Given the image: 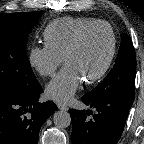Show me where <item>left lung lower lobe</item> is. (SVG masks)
Instances as JSON below:
<instances>
[{"label":"left lung lower lobe","instance_id":"1","mask_svg":"<svg viewBox=\"0 0 144 144\" xmlns=\"http://www.w3.org/2000/svg\"><path fill=\"white\" fill-rule=\"evenodd\" d=\"M134 99L118 95L82 97V102L96 110H69L72 144H117ZM93 115L90 119L87 115Z\"/></svg>","mask_w":144,"mask_h":144}]
</instances>
